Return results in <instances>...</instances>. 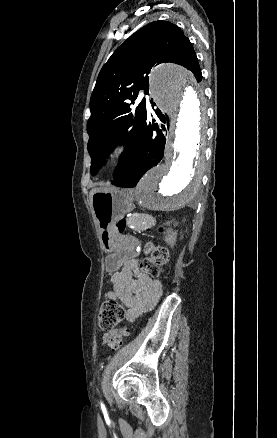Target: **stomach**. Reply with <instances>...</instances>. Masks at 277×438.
Listing matches in <instances>:
<instances>
[{"mask_svg": "<svg viewBox=\"0 0 277 438\" xmlns=\"http://www.w3.org/2000/svg\"><path fill=\"white\" fill-rule=\"evenodd\" d=\"M91 203L100 229L101 248L107 253L106 270L116 271L126 261L132 247L131 239L115 230V224L134 209L132 194L127 189L108 188L95 192Z\"/></svg>", "mask_w": 277, "mask_h": 438, "instance_id": "obj_1", "label": "stomach"}]
</instances>
